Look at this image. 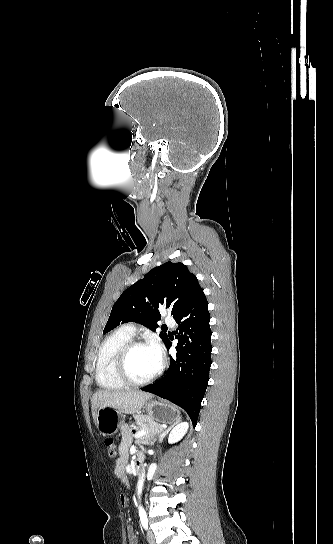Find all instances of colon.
Wrapping results in <instances>:
<instances>
[{"label":"colon","instance_id":"colon-1","mask_svg":"<svg viewBox=\"0 0 333 544\" xmlns=\"http://www.w3.org/2000/svg\"><path fill=\"white\" fill-rule=\"evenodd\" d=\"M104 444L107 449L108 455L112 458L115 457L117 454V451H116V445L114 440L112 438H106L104 440Z\"/></svg>","mask_w":333,"mask_h":544}]
</instances>
